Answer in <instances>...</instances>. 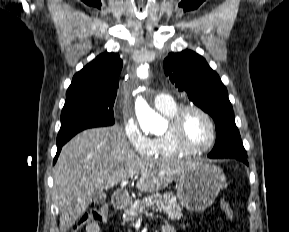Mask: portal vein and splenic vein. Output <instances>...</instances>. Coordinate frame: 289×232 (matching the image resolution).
Masks as SVG:
<instances>
[{
  "mask_svg": "<svg viewBox=\"0 0 289 232\" xmlns=\"http://www.w3.org/2000/svg\"><path fill=\"white\" fill-rule=\"evenodd\" d=\"M128 183H129L128 180H124V181L121 182L120 185H121V187H124V186H126Z\"/></svg>",
  "mask_w": 289,
  "mask_h": 232,
  "instance_id": "18ae733b",
  "label": "portal vein and splenic vein"
}]
</instances>
